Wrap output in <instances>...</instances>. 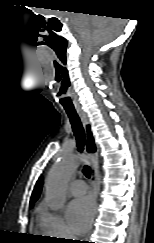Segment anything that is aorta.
Instances as JSON below:
<instances>
[{"label": "aorta", "instance_id": "1", "mask_svg": "<svg viewBox=\"0 0 154 243\" xmlns=\"http://www.w3.org/2000/svg\"><path fill=\"white\" fill-rule=\"evenodd\" d=\"M79 166V158L64 154L50 170L46 179V197L52 210H60L66 199V186Z\"/></svg>", "mask_w": 154, "mask_h": 243}]
</instances>
